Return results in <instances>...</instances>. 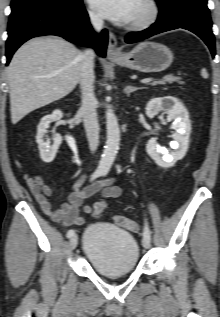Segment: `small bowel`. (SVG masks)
<instances>
[{
    "label": "small bowel",
    "mask_w": 220,
    "mask_h": 317,
    "mask_svg": "<svg viewBox=\"0 0 220 317\" xmlns=\"http://www.w3.org/2000/svg\"><path fill=\"white\" fill-rule=\"evenodd\" d=\"M87 178L86 174L80 175L73 184V191L68 196V201L58 207H53L49 201L52 189L40 176L27 178L26 182L31 193L39 203L43 212L54 222L62 223L65 226L82 225L84 217L82 212L92 214L98 206L104 207V200L116 198L121 195V188L113 185V179H105L94 182L86 187H82ZM100 193L101 199L93 205L84 204L86 199Z\"/></svg>",
    "instance_id": "small-bowel-1"
}]
</instances>
